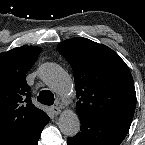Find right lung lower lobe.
I'll list each match as a JSON object with an SVG mask.
<instances>
[{
    "label": "right lung lower lobe",
    "instance_id": "98d812e1",
    "mask_svg": "<svg viewBox=\"0 0 145 145\" xmlns=\"http://www.w3.org/2000/svg\"><path fill=\"white\" fill-rule=\"evenodd\" d=\"M49 122V117L35 128L25 130L7 145H38L42 129Z\"/></svg>",
    "mask_w": 145,
    "mask_h": 145
}]
</instances>
